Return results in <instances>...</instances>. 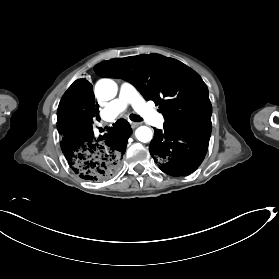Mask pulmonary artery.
<instances>
[{
  "label": "pulmonary artery",
  "mask_w": 279,
  "mask_h": 279,
  "mask_svg": "<svg viewBox=\"0 0 279 279\" xmlns=\"http://www.w3.org/2000/svg\"><path fill=\"white\" fill-rule=\"evenodd\" d=\"M131 94L132 86L127 82L121 83L118 96L107 104L105 110L106 118L111 120L123 115L131 105ZM133 108L139 111L141 106L140 104H135Z\"/></svg>",
  "instance_id": "e3ab8cb5"
}]
</instances>
